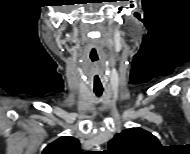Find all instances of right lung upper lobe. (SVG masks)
<instances>
[{
  "label": "right lung upper lobe",
  "instance_id": "right-lung-upper-lobe-1",
  "mask_svg": "<svg viewBox=\"0 0 190 154\" xmlns=\"http://www.w3.org/2000/svg\"><path fill=\"white\" fill-rule=\"evenodd\" d=\"M80 143L74 137H60L47 145L42 154H81Z\"/></svg>",
  "mask_w": 190,
  "mask_h": 154
}]
</instances>
